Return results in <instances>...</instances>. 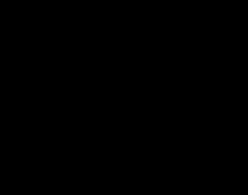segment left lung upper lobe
Returning <instances> with one entry per match:
<instances>
[{"instance_id": "5c2ea615", "label": "left lung upper lobe", "mask_w": 248, "mask_h": 195, "mask_svg": "<svg viewBox=\"0 0 248 195\" xmlns=\"http://www.w3.org/2000/svg\"><path fill=\"white\" fill-rule=\"evenodd\" d=\"M165 32L180 40L186 53L185 70L177 89L186 92L193 89L217 88L209 58L201 46L180 31L170 29Z\"/></svg>"}]
</instances>
